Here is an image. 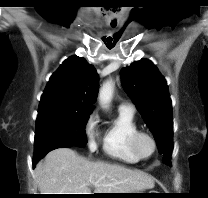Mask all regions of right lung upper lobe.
Listing matches in <instances>:
<instances>
[{
	"label": "right lung upper lobe",
	"mask_w": 208,
	"mask_h": 198,
	"mask_svg": "<svg viewBox=\"0 0 208 198\" xmlns=\"http://www.w3.org/2000/svg\"><path fill=\"white\" fill-rule=\"evenodd\" d=\"M98 93V74L84 58L66 59L41 96L39 110L72 108L92 112Z\"/></svg>",
	"instance_id": "cb5924a9"
}]
</instances>
